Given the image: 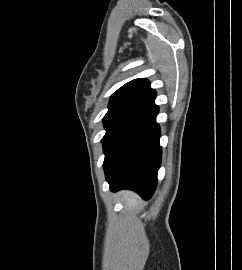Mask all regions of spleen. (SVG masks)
Wrapping results in <instances>:
<instances>
[{
	"mask_svg": "<svg viewBox=\"0 0 242 270\" xmlns=\"http://www.w3.org/2000/svg\"><path fill=\"white\" fill-rule=\"evenodd\" d=\"M137 195H135L134 193H126L124 195V200H125V205L128 208H133L136 207L138 205V201H137Z\"/></svg>",
	"mask_w": 242,
	"mask_h": 270,
	"instance_id": "spleen-1",
	"label": "spleen"
}]
</instances>
